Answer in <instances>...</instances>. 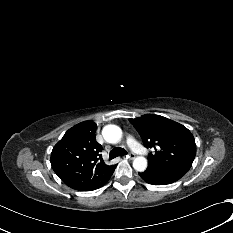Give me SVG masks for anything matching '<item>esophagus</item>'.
I'll list each match as a JSON object with an SVG mask.
<instances>
[{"label": "esophagus", "mask_w": 233, "mask_h": 233, "mask_svg": "<svg viewBox=\"0 0 233 233\" xmlns=\"http://www.w3.org/2000/svg\"><path fill=\"white\" fill-rule=\"evenodd\" d=\"M126 158L133 160L135 158V155L133 153H130V154L126 155Z\"/></svg>", "instance_id": "34e87169"}]
</instances>
